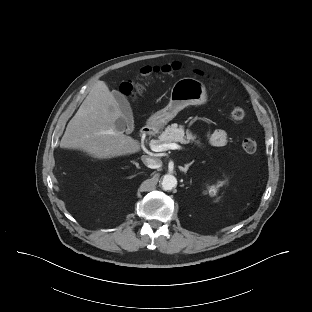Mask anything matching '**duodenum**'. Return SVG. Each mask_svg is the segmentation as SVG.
Here are the masks:
<instances>
[{
    "instance_id": "duodenum-1",
    "label": "duodenum",
    "mask_w": 312,
    "mask_h": 312,
    "mask_svg": "<svg viewBox=\"0 0 312 312\" xmlns=\"http://www.w3.org/2000/svg\"><path fill=\"white\" fill-rule=\"evenodd\" d=\"M155 133V126L154 125H147L145 126L139 133L138 137L141 140H145L149 136L153 135Z\"/></svg>"
}]
</instances>
